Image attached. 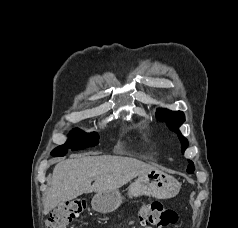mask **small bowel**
<instances>
[{
    "label": "small bowel",
    "instance_id": "c3829d8e",
    "mask_svg": "<svg viewBox=\"0 0 238 228\" xmlns=\"http://www.w3.org/2000/svg\"><path fill=\"white\" fill-rule=\"evenodd\" d=\"M143 228H152L150 225L144 224Z\"/></svg>",
    "mask_w": 238,
    "mask_h": 228
}]
</instances>
